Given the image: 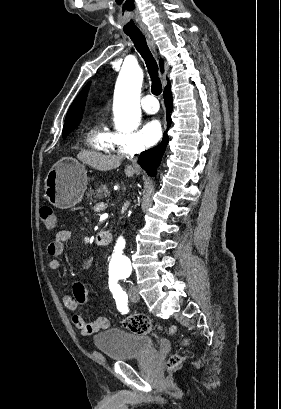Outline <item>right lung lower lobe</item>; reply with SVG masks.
I'll return each mask as SVG.
<instances>
[{
    "mask_svg": "<svg viewBox=\"0 0 281 409\" xmlns=\"http://www.w3.org/2000/svg\"><path fill=\"white\" fill-rule=\"evenodd\" d=\"M163 97L166 104V113H167V126L169 127L171 124L170 113L172 111V93L171 87L166 89L163 93ZM168 143V136L167 133H164L163 141L158 146L144 151L139 156V162L143 169L146 170L148 175L155 176L156 169L158 168L161 158L164 154L166 145Z\"/></svg>",
    "mask_w": 281,
    "mask_h": 409,
    "instance_id": "right-lung-lower-lobe-1",
    "label": "right lung lower lobe"
}]
</instances>
